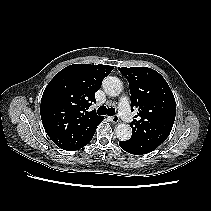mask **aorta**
Segmentation results:
<instances>
[{
    "mask_svg": "<svg viewBox=\"0 0 211 211\" xmlns=\"http://www.w3.org/2000/svg\"><path fill=\"white\" fill-rule=\"evenodd\" d=\"M105 93L111 97L118 96L123 90V84L118 77L107 76L102 83ZM115 135L121 141L131 138L132 129L129 124L120 123L115 128Z\"/></svg>",
    "mask_w": 211,
    "mask_h": 211,
    "instance_id": "aorta-1",
    "label": "aorta"
}]
</instances>
